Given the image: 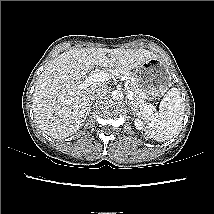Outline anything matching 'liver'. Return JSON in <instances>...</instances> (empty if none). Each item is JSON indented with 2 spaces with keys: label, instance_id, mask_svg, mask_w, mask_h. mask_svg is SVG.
Segmentation results:
<instances>
[{
  "label": "liver",
  "instance_id": "liver-1",
  "mask_svg": "<svg viewBox=\"0 0 214 214\" xmlns=\"http://www.w3.org/2000/svg\"><path fill=\"white\" fill-rule=\"evenodd\" d=\"M109 54L110 58L107 57ZM156 57L146 49L76 48L48 63L33 94V112L39 128L54 139L74 134L90 112V91L81 79L95 66L133 70Z\"/></svg>",
  "mask_w": 214,
  "mask_h": 214
}]
</instances>
